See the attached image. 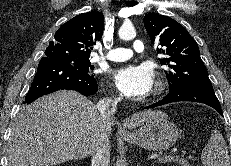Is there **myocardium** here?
<instances>
[{
    "instance_id": "myocardium-1",
    "label": "myocardium",
    "mask_w": 231,
    "mask_h": 166,
    "mask_svg": "<svg viewBox=\"0 0 231 166\" xmlns=\"http://www.w3.org/2000/svg\"><path fill=\"white\" fill-rule=\"evenodd\" d=\"M163 90V82L161 80H157L155 89H154V95H159Z\"/></svg>"
}]
</instances>
